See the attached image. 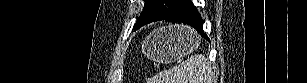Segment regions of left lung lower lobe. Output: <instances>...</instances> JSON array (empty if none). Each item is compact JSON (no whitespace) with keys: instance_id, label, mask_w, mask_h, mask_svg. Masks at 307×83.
<instances>
[{"instance_id":"obj_1","label":"left lung lower lobe","mask_w":307,"mask_h":83,"mask_svg":"<svg viewBox=\"0 0 307 83\" xmlns=\"http://www.w3.org/2000/svg\"><path fill=\"white\" fill-rule=\"evenodd\" d=\"M161 20L188 24L202 34L204 38L208 39L203 32V20L190 0H177L169 13ZM137 29L138 28H134V30Z\"/></svg>"}]
</instances>
